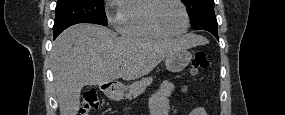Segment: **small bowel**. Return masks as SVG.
Returning a JSON list of instances; mask_svg holds the SVG:
<instances>
[{"instance_id": "1", "label": "small bowel", "mask_w": 285, "mask_h": 115, "mask_svg": "<svg viewBox=\"0 0 285 115\" xmlns=\"http://www.w3.org/2000/svg\"><path fill=\"white\" fill-rule=\"evenodd\" d=\"M174 90L171 82H165L160 89L153 95L150 102L151 115H168L169 114V96ZM189 115H206L203 107L195 106Z\"/></svg>"}]
</instances>
